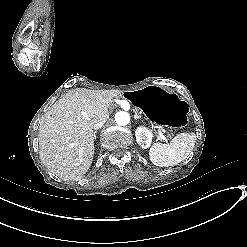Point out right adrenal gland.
I'll use <instances>...</instances> for the list:
<instances>
[{"label":"right adrenal gland","mask_w":247,"mask_h":247,"mask_svg":"<svg viewBox=\"0 0 247 247\" xmlns=\"http://www.w3.org/2000/svg\"><path fill=\"white\" fill-rule=\"evenodd\" d=\"M96 133H97V131H94V132H93V137H94V139H96Z\"/></svg>","instance_id":"1"}]
</instances>
